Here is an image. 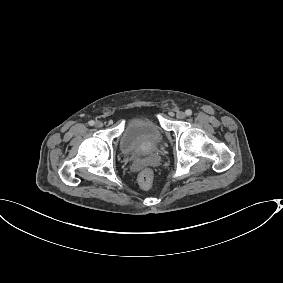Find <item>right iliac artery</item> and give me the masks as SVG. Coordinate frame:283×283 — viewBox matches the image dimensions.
I'll use <instances>...</instances> for the list:
<instances>
[{
  "label": "right iliac artery",
  "instance_id": "1",
  "mask_svg": "<svg viewBox=\"0 0 283 283\" xmlns=\"http://www.w3.org/2000/svg\"><path fill=\"white\" fill-rule=\"evenodd\" d=\"M88 124H89L90 126H93V125L95 124V122H94L93 120H91V121L88 122Z\"/></svg>",
  "mask_w": 283,
  "mask_h": 283
}]
</instances>
